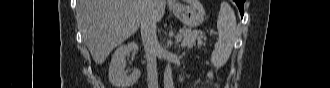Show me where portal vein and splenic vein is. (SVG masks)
I'll use <instances>...</instances> for the list:
<instances>
[{"label":"portal vein and splenic vein","mask_w":330,"mask_h":88,"mask_svg":"<svg viewBox=\"0 0 330 88\" xmlns=\"http://www.w3.org/2000/svg\"><path fill=\"white\" fill-rule=\"evenodd\" d=\"M181 36H177V40H180Z\"/></svg>","instance_id":"obj_1"}]
</instances>
